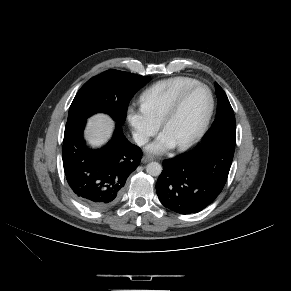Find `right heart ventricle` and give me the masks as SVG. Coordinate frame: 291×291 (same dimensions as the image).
<instances>
[{"mask_svg":"<svg viewBox=\"0 0 291 291\" xmlns=\"http://www.w3.org/2000/svg\"><path fill=\"white\" fill-rule=\"evenodd\" d=\"M198 83L194 78L187 76H176L160 80L146 90L140 96L141 106L145 111L159 123L165 112L187 87Z\"/></svg>","mask_w":291,"mask_h":291,"instance_id":"1","label":"right heart ventricle"}]
</instances>
